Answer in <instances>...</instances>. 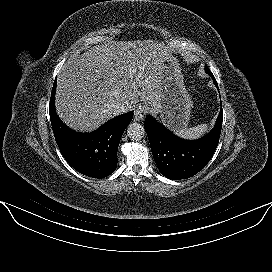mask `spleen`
<instances>
[{"mask_svg": "<svg viewBox=\"0 0 272 272\" xmlns=\"http://www.w3.org/2000/svg\"><path fill=\"white\" fill-rule=\"evenodd\" d=\"M208 129L207 124L197 125L191 128H184L180 131H177L176 134L187 139H196L201 137Z\"/></svg>", "mask_w": 272, "mask_h": 272, "instance_id": "spleen-1", "label": "spleen"}]
</instances>
